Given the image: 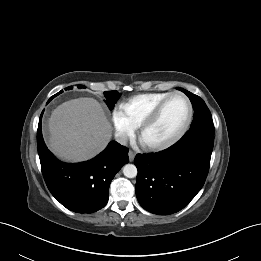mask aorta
Here are the masks:
<instances>
[{
  "mask_svg": "<svg viewBox=\"0 0 261 261\" xmlns=\"http://www.w3.org/2000/svg\"><path fill=\"white\" fill-rule=\"evenodd\" d=\"M123 174L127 178H134V177H136L137 176V168H136V166L133 165V164H126L123 167Z\"/></svg>",
  "mask_w": 261,
  "mask_h": 261,
  "instance_id": "obj_1",
  "label": "aorta"
}]
</instances>
